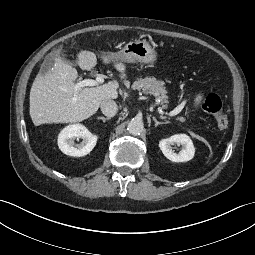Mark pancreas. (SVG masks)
I'll return each instance as SVG.
<instances>
[{"label":"pancreas","instance_id":"pancreas-1","mask_svg":"<svg viewBox=\"0 0 255 255\" xmlns=\"http://www.w3.org/2000/svg\"><path fill=\"white\" fill-rule=\"evenodd\" d=\"M132 89L155 96L157 104L167 108L168 96L163 81L157 80L155 77L139 78L133 83Z\"/></svg>","mask_w":255,"mask_h":255}]
</instances>
